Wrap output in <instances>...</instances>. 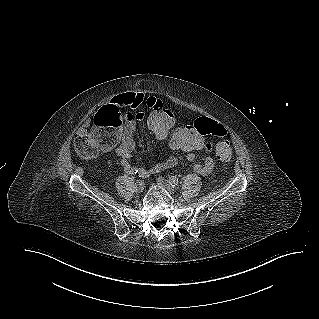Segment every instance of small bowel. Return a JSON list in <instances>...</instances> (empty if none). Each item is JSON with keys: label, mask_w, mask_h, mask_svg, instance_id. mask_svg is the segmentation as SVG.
Listing matches in <instances>:
<instances>
[{"label": "small bowel", "mask_w": 319, "mask_h": 319, "mask_svg": "<svg viewBox=\"0 0 319 319\" xmlns=\"http://www.w3.org/2000/svg\"><path fill=\"white\" fill-rule=\"evenodd\" d=\"M142 104H145L152 113H169L171 109L169 104H163L156 97L145 98L143 94L136 92L120 94L113 97L109 104L105 106V108H99L98 111L92 115L91 124L93 127L84 125L79 128L77 134L79 137L88 136L91 145L102 150L104 153L111 148L114 143L117 142L121 134V128L125 126L121 134V142L115 147L114 151L120 157L121 166L123 167L124 171L131 173L133 167L131 166L130 159L136 147V122L138 121L146 123V114L139 112L137 109V107ZM198 132L199 135H205L201 131ZM214 145V140H206L203 147L204 152H211ZM183 152L185 153L186 160H195V153H190L187 151ZM177 163L178 158L176 156H170L165 161L157 163L150 169H141L140 172H143L145 176H148L150 174L172 168L176 166ZM192 169L197 174L209 176L213 173L214 161L211 157H206L203 162L195 163Z\"/></svg>", "instance_id": "obj_1"}]
</instances>
